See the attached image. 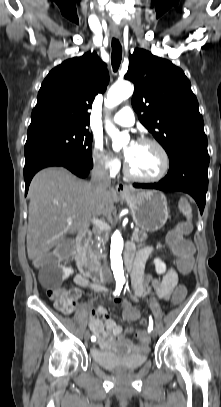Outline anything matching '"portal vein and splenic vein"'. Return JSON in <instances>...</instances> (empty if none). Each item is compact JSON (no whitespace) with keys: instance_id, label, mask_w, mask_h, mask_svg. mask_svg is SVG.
I'll return each instance as SVG.
<instances>
[{"instance_id":"obj_1","label":"portal vein and splenic vein","mask_w":221,"mask_h":407,"mask_svg":"<svg viewBox=\"0 0 221 407\" xmlns=\"http://www.w3.org/2000/svg\"><path fill=\"white\" fill-rule=\"evenodd\" d=\"M71 221H72V218H69L68 222H71ZM92 223L94 226H96L100 230H108L110 228L107 223H105L103 220L98 219V218H93ZM138 230H139L138 228L134 229V231H138Z\"/></svg>"}]
</instances>
